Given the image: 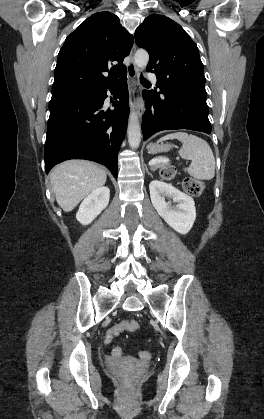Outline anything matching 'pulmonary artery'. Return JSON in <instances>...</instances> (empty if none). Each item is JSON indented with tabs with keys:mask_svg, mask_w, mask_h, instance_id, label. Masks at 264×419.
Here are the masks:
<instances>
[{
	"mask_svg": "<svg viewBox=\"0 0 264 419\" xmlns=\"http://www.w3.org/2000/svg\"><path fill=\"white\" fill-rule=\"evenodd\" d=\"M148 77H149V79H150V81L151 82H156V75L155 74H153V73H150L149 75H148Z\"/></svg>",
	"mask_w": 264,
	"mask_h": 419,
	"instance_id": "pulmonary-artery-1",
	"label": "pulmonary artery"
}]
</instances>
